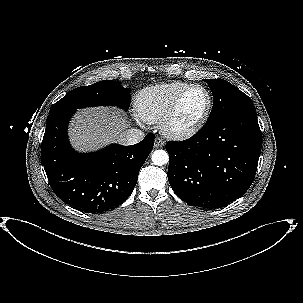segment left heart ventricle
I'll list each match as a JSON object with an SVG mask.
<instances>
[{"label":"left heart ventricle","mask_w":303,"mask_h":303,"mask_svg":"<svg viewBox=\"0 0 303 303\" xmlns=\"http://www.w3.org/2000/svg\"><path fill=\"white\" fill-rule=\"evenodd\" d=\"M207 104L205 92L200 88L192 89L184 98L175 118V125L183 128L193 124L204 112Z\"/></svg>","instance_id":"1"}]
</instances>
